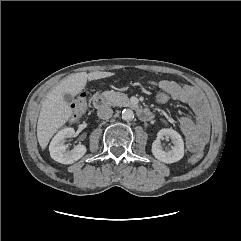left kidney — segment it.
I'll use <instances>...</instances> for the list:
<instances>
[{
    "instance_id": "left-kidney-1",
    "label": "left kidney",
    "mask_w": 241,
    "mask_h": 241,
    "mask_svg": "<svg viewBox=\"0 0 241 241\" xmlns=\"http://www.w3.org/2000/svg\"><path fill=\"white\" fill-rule=\"evenodd\" d=\"M170 137L174 146L171 150L165 151L161 146V139ZM152 153L156 159L161 162L170 164L181 160L184 156V142L181 135L171 129L164 128L157 133V138L152 144Z\"/></svg>"
}]
</instances>
